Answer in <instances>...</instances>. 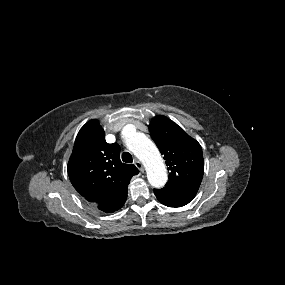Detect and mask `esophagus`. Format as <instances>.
Segmentation results:
<instances>
[{"label":"esophagus","instance_id":"esophagus-1","mask_svg":"<svg viewBox=\"0 0 285 285\" xmlns=\"http://www.w3.org/2000/svg\"><path fill=\"white\" fill-rule=\"evenodd\" d=\"M134 164L140 170V172H144L143 164L139 160H135Z\"/></svg>","mask_w":285,"mask_h":285}]
</instances>
